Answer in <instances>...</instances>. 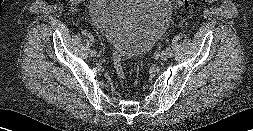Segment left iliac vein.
Returning a JSON list of instances; mask_svg holds the SVG:
<instances>
[{
	"label": "left iliac vein",
	"instance_id": "obj_1",
	"mask_svg": "<svg viewBox=\"0 0 253 131\" xmlns=\"http://www.w3.org/2000/svg\"><path fill=\"white\" fill-rule=\"evenodd\" d=\"M172 56V51L170 53L161 52L160 53V59L163 61L168 60Z\"/></svg>",
	"mask_w": 253,
	"mask_h": 131
}]
</instances>
